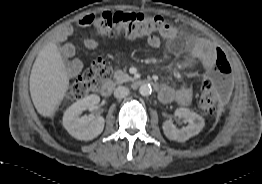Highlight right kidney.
<instances>
[{
  "mask_svg": "<svg viewBox=\"0 0 262 184\" xmlns=\"http://www.w3.org/2000/svg\"><path fill=\"white\" fill-rule=\"evenodd\" d=\"M100 101L99 96L90 95L72 104L64 113L63 126L68 133L78 140L89 141L100 135L105 120L102 116H82L85 110H94Z\"/></svg>",
  "mask_w": 262,
  "mask_h": 184,
  "instance_id": "1",
  "label": "right kidney"
}]
</instances>
